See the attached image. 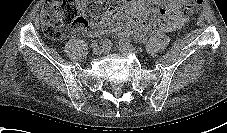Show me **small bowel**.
Wrapping results in <instances>:
<instances>
[{"label": "small bowel", "mask_w": 227, "mask_h": 133, "mask_svg": "<svg viewBox=\"0 0 227 133\" xmlns=\"http://www.w3.org/2000/svg\"><path fill=\"white\" fill-rule=\"evenodd\" d=\"M154 5H160L155 14H147L144 0H123L121 9L115 14V21L109 20L100 29L90 32L100 36L105 33H115L118 36L132 35L136 39H143L150 31H175L183 27L187 18L180 10L179 0H150ZM153 15V16H152Z\"/></svg>", "instance_id": "obj_1"}]
</instances>
